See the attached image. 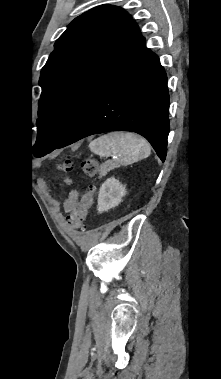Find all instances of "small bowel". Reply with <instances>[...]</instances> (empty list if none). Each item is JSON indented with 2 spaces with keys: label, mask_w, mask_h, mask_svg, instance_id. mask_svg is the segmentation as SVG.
<instances>
[{
  "label": "small bowel",
  "mask_w": 221,
  "mask_h": 379,
  "mask_svg": "<svg viewBox=\"0 0 221 379\" xmlns=\"http://www.w3.org/2000/svg\"><path fill=\"white\" fill-rule=\"evenodd\" d=\"M78 202V192L71 191L64 201L63 207L65 212L70 213Z\"/></svg>",
  "instance_id": "small-bowel-1"
}]
</instances>
